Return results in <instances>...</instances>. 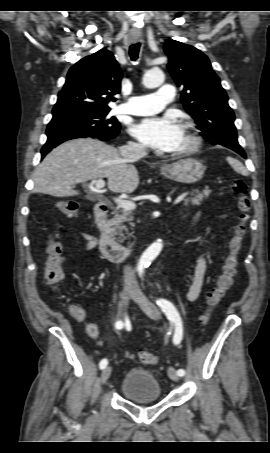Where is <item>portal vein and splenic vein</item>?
Returning <instances> with one entry per match:
<instances>
[{
	"label": "portal vein and splenic vein",
	"instance_id": "18ae733b",
	"mask_svg": "<svg viewBox=\"0 0 270 453\" xmlns=\"http://www.w3.org/2000/svg\"><path fill=\"white\" fill-rule=\"evenodd\" d=\"M104 186H105V181L103 179H98L95 181V188L97 190H102L104 188ZM187 195H188V192H185V193L181 194L180 196H178L176 198V200L174 201V204H179L180 202H182ZM114 201L116 202V204L119 208H122L127 211H131L136 208L135 203L128 201V200L114 198Z\"/></svg>",
	"mask_w": 270,
	"mask_h": 453
}]
</instances>
